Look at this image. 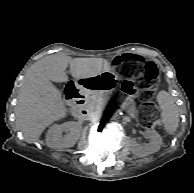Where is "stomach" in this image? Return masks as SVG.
<instances>
[{"label":"stomach","mask_w":194,"mask_h":193,"mask_svg":"<svg viewBox=\"0 0 194 193\" xmlns=\"http://www.w3.org/2000/svg\"><path fill=\"white\" fill-rule=\"evenodd\" d=\"M75 83L83 91L111 92L119 85L124 92L130 95L136 96L139 94V90L133 80H120L119 76L113 71H103L91 77L79 78L75 80Z\"/></svg>","instance_id":"stomach-1"}]
</instances>
